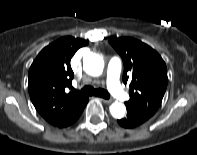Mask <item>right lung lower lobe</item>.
Here are the masks:
<instances>
[{
	"label": "right lung lower lobe",
	"instance_id": "right-lung-lower-lobe-1",
	"mask_svg": "<svg viewBox=\"0 0 197 155\" xmlns=\"http://www.w3.org/2000/svg\"><path fill=\"white\" fill-rule=\"evenodd\" d=\"M88 102V99L85 101V103L81 106V108L76 112V114L71 118V120L68 122V124L66 126H69L71 124H73L81 115L82 111L84 110L86 104ZM65 126V127H66Z\"/></svg>",
	"mask_w": 197,
	"mask_h": 155
}]
</instances>
